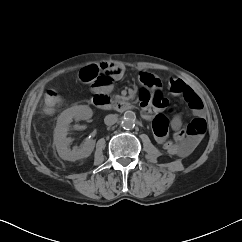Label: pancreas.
<instances>
[{"label":"pancreas","mask_w":242,"mask_h":242,"mask_svg":"<svg viewBox=\"0 0 242 242\" xmlns=\"http://www.w3.org/2000/svg\"><path fill=\"white\" fill-rule=\"evenodd\" d=\"M115 99H116V100H119V99H122V97L119 96V95H116V96H115Z\"/></svg>","instance_id":"obj_1"}]
</instances>
